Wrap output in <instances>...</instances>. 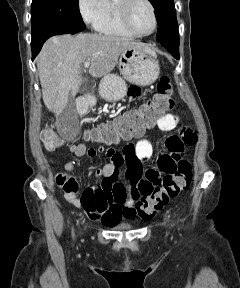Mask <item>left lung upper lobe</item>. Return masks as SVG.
Listing matches in <instances>:
<instances>
[{
  "label": "left lung upper lobe",
  "instance_id": "obj_1",
  "mask_svg": "<svg viewBox=\"0 0 240 288\" xmlns=\"http://www.w3.org/2000/svg\"><path fill=\"white\" fill-rule=\"evenodd\" d=\"M156 11L157 41L179 42L178 24L173 0H149Z\"/></svg>",
  "mask_w": 240,
  "mask_h": 288
}]
</instances>
